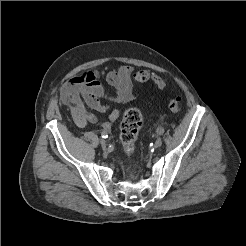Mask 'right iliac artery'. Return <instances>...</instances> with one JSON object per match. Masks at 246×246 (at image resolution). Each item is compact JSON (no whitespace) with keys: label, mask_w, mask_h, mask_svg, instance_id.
Segmentation results:
<instances>
[{"label":"right iliac artery","mask_w":246,"mask_h":246,"mask_svg":"<svg viewBox=\"0 0 246 246\" xmlns=\"http://www.w3.org/2000/svg\"><path fill=\"white\" fill-rule=\"evenodd\" d=\"M101 137L102 138H107L108 137V133L106 131H102L101 132Z\"/></svg>","instance_id":"1"}]
</instances>
